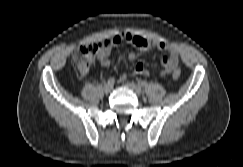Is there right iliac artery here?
<instances>
[{"label":"right iliac artery","mask_w":243,"mask_h":167,"mask_svg":"<svg viewBox=\"0 0 243 167\" xmlns=\"http://www.w3.org/2000/svg\"><path fill=\"white\" fill-rule=\"evenodd\" d=\"M115 79L113 77L108 79V84L114 85Z\"/></svg>","instance_id":"right-iliac-artery-1"}]
</instances>
